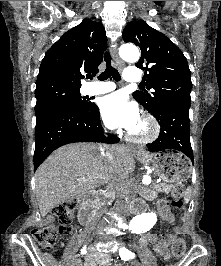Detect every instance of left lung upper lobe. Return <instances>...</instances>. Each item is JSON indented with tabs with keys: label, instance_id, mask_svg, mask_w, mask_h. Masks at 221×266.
I'll use <instances>...</instances> for the list:
<instances>
[{
	"label": "left lung upper lobe",
	"instance_id": "left-lung-upper-lobe-1",
	"mask_svg": "<svg viewBox=\"0 0 221 266\" xmlns=\"http://www.w3.org/2000/svg\"><path fill=\"white\" fill-rule=\"evenodd\" d=\"M122 36L125 42L140 47L141 59L136 66L145 69L147 89H154L151 94L135 91L136 101L153 116L159 115L168 105L190 107L191 73L183 52L144 20L129 22Z\"/></svg>",
	"mask_w": 221,
	"mask_h": 266
}]
</instances>
